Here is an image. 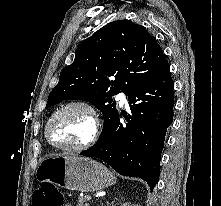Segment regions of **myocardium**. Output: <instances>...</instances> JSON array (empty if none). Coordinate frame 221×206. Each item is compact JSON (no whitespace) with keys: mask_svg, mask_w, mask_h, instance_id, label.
Wrapping results in <instances>:
<instances>
[{"mask_svg":"<svg viewBox=\"0 0 221 206\" xmlns=\"http://www.w3.org/2000/svg\"><path fill=\"white\" fill-rule=\"evenodd\" d=\"M72 108H80L89 114L91 123H92L91 134L87 140H85L84 142L78 145L68 146V145L56 144L52 141L50 137L51 125L56 117H58L63 112ZM100 130H101L100 119H99V115L96 109L90 103L86 101L73 100V101L63 104L50 115L45 126V137H46L47 142L58 150L69 151V152H82V151L89 149L96 143L100 134Z\"/></svg>","mask_w":221,"mask_h":206,"instance_id":"myocardium-1","label":"myocardium"}]
</instances>
